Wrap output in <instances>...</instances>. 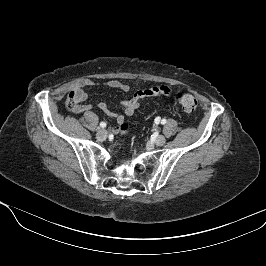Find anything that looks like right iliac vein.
<instances>
[{"instance_id":"63e3f726","label":"right iliac vein","mask_w":266,"mask_h":266,"mask_svg":"<svg viewBox=\"0 0 266 266\" xmlns=\"http://www.w3.org/2000/svg\"><path fill=\"white\" fill-rule=\"evenodd\" d=\"M99 140H105L107 137V132L105 129H99L96 134Z\"/></svg>"}]
</instances>
